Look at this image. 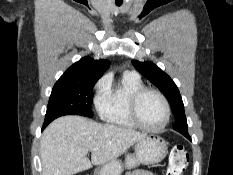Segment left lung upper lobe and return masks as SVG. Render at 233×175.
Segmentation results:
<instances>
[{"label":"left lung upper lobe","mask_w":233,"mask_h":175,"mask_svg":"<svg viewBox=\"0 0 233 175\" xmlns=\"http://www.w3.org/2000/svg\"><path fill=\"white\" fill-rule=\"evenodd\" d=\"M134 67L160 91L168 99L173 113L175 115V124L173 129L190 137L187 130V120L184 112V105L179 90L173 80L155 64L150 62L132 61Z\"/></svg>","instance_id":"obj_1"}]
</instances>
